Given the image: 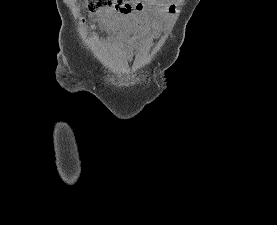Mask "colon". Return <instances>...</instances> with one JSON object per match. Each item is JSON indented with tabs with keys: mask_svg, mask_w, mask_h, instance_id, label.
Instances as JSON below:
<instances>
[{
	"mask_svg": "<svg viewBox=\"0 0 277 225\" xmlns=\"http://www.w3.org/2000/svg\"><path fill=\"white\" fill-rule=\"evenodd\" d=\"M83 8L89 11L111 10L123 15L130 14L138 9V4L127 0H81Z\"/></svg>",
	"mask_w": 277,
	"mask_h": 225,
	"instance_id": "obj_1",
	"label": "colon"
}]
</instances>
